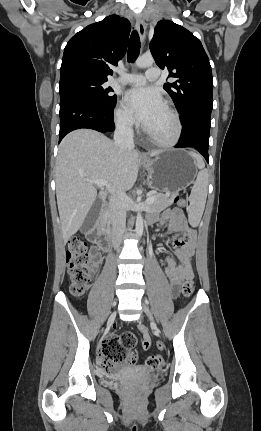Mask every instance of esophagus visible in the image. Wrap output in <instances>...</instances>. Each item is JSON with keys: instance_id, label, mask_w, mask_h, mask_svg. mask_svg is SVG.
I'll return each mask as SVG.
<instances>
[{"instance_id": "34e87169", "label": "esophagus", "mask_w": 261, "mask_h": 431, "mask_svg": "<svg viewBox=\"0 0 261 431\" xmlns=\"http://www.w3.org/2000/svg\"><path fill=\"white\" fill-rule=\"evenodd\" d=\"M136 29L139 33L141 43L144 44L146 38V26L141 16L136 17ZM144 155V153H142Z\"/></svg>"}]
</instances>
